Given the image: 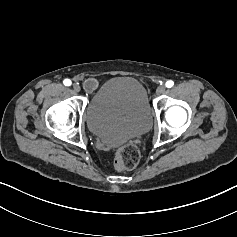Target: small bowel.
<instances>
[{
  "instance_id": "c3829d8e",
  "label": "small bowel",
  "mask_w": 237,
  "mask_h": 237,
  "mask_svg": "<svg viewBox=\"0 0 237 237\" xmlns=\"http://www.w3.org/2000/svg\"><path fill=\"white\" fill-rule=\"evenodd\" d=\"M96 86H97V80L94 78H90L85 82V87L88 91H92Z\"/></svg>"
}]
</instances>
